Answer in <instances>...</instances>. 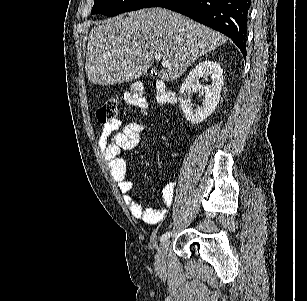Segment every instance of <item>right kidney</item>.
<instances>
[{
	"label": "right kidney",
	"mask_w": 307,
	"mask_h": 301,
	"mask_svg": "<svg viewBox=\"0 0 307 301\" xmlns=\"http://www.w3.org/2000/svg\"><path fill=\"white\" fill-rule=\"evenodd\" d=\"M202 76H205V78L210 76L211 84H204L203 86L199 82V78H202ZM223 80V70L219 62H214V60H201L199 64L192 68L178 92L182 112H184L185 118L189 122L199 124L216 110L220 100ZM196 90H205L206 92L202 106H199V108H194V104H192V96Z\"/></svg>",
	"instance_id": "right-kidney-1"
}]
</instances>
